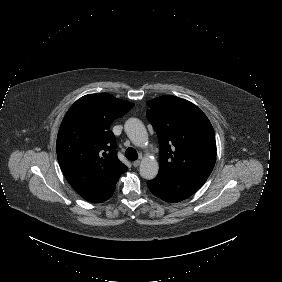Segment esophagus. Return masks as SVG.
Segmentation results:
<instances>
[{"instance_id": "34e87169", "label": "esophagus", "mask_w": 282, "mask_h": 282, "mask_svg": "<svg viewBox=\"0 0 282 282\" xmlns=\"http://www.w3.org/2000/svg\"><path fill=\"white\" fill-rule=\"evenodd\" d=\"M140 164H141L140 160H136V161L133 162L134 167H138Z\"/></svg>"}]
</instances>
